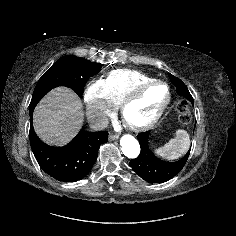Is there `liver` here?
I'll use <instances>...</instances> for the list:
<instances>
[{"label":"liver","instance_id":"6515ba94","mask_svg":"<svg viewBox=\"0 0 236 236\" xmlns=\"http://www.w3.org/2000/svg\"><path fill=\"white\" fill-rule=\"evenodd\" d=\"M83 107L69 88L50 91L36 106L33 123L36 134L46 143L63 146L69 143L83 124Z\"/></svg>","mask_w":236,"mask_h":236}]
</instances>
